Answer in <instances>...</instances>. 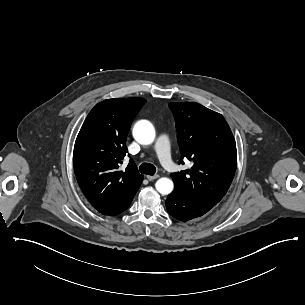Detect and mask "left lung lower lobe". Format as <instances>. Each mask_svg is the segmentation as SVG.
<instances>
[{
  "mask_svg": "<svg viewBox=\"0 0 305 305\" xmlns=\"http://www.w3.org/2000/svg\"><path fill=\"white\" fill-rule=\"evenodd\" d=\"M216 203L198 201L188 198L174 190L168 195L166 207L168 212L176 219L186 222L200 217L212 209Z\"/></svg>",
  "mask_w": 305,
  "mask_h": 305,
  "instance_id": "obj_1",
  "label": "left lung lower lobe"
}]
</instances>
